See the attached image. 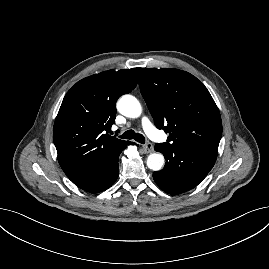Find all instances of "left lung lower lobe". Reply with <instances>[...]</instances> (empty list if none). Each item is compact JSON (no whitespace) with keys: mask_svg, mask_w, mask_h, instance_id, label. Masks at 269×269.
Returning a JSON list of instances; mask_svg holds the SVG:
<instances>
[{"mask_svg":"<svg viewBox=\"0 0 269 269\" xmlns=\"http://www.w3.org/2000/svg\"><path fill=\"white\" fill-rule=\"evenodd\" d=\"M161 152L165 167L153 173L156 184L166 193L180 194L196 187L215 164L218 151L195 146H172L156 144Z\"/></svg>","mask_w":269,"mask_h":269,"instance_id":"left-lung-lower-lobe-1","label":"left lung lower lobe"}]
</instances>
